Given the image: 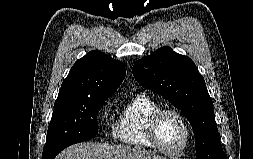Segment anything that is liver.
Wrapping results in <instances>:
<instances>
[{
  "instance_id": "6515ba94",
  "label": "liver",
  "mask_w": 253,
  "mask_h": 159,
  "mask_svg": "<svg viewBox=\"0 0 253 159\" xmlns=\"http://www.w3.org/2000/svg\"><path fill=\"white\" fill-rule=\"evenodd\" d=\"M55 159H166L148 150L82 142L63 150Z\"/></svg>"
}]
</instances>
